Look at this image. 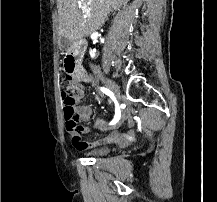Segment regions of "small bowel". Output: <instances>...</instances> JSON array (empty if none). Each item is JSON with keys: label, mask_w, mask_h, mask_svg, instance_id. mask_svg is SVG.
Masks as SVG:
<instances>
[{"label": "small bowel", "mask_w": 217, "mask_h": 202, "mask_svg": "<svg viewBox=\"0 0 217 202\" xmlns=\"http://www.w3.org/2000/svg\"><path fill=\"white\" fill-rule=\"evenodd\" d=\"M67 90H75L74 94V100L76 102L82 101V99L85 96L84 89L80 86V84H69L66 86ZM76 116L78 121L84 122L89 120L93 115V108L89 105H77L75 108ZM129 113L124 115V118H128ZM83 131H72V136L74 141H83V136H86V134L89 132L88 128L83 127ZM121 123H116L113 126L112 132L102 138L93 139L87 142H72V147H85V148H91L95 147L97 145H100L101 143L107 142V143H116L120 146H126L130 142L136 140V133L132 131L128 132H121Z\"/></svg>", "instance_id": "obj_1"}]
</instances>
